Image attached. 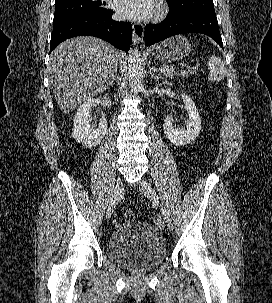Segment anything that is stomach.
I'll use <instances>...</instances> for the list:
<instances>
[{"label": "stomach", "instance_id": "obj_1", "mask_svg": "<svg viewBox=\"0 0 272 303\" xmlns=\"http://www.w3.org/2000/svg\"><path fill=\"white\" fill-rule=\"evenodd\" d=\"M190 51L191 45L187 38L177 35L156 46L152 55L162 62H174L187 57Z\"/></svg>", "mask_w": 272, "mask_h": 303}]
</instances>
